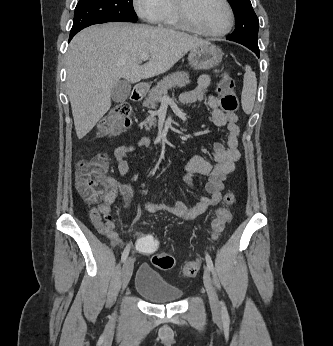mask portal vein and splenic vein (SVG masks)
<instances>
[{"label":"portal vein and splenic vein","instance_id":"obj_1","mask_svg":"<svg viewBox=\"0 0 333 346\" xmlns=\"http://www.w3.org/2000/svg\"><path fill=\"white\" fill-rule=\"evenodd\" d=\"M149 59V55H143L141 57V61H147ZM164 99L168 98V96L166 94H164L163 96Z\"/></svg>","mask_w":333,"mask_h":346}]
</instances>
